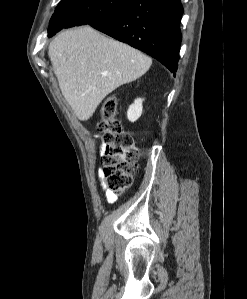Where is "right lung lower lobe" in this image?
<instances>
[{"mask_svg":"<svg viewBox=\"0 0 247 299\" xmlns=\"http://www.w3.org/2000/svg\"><path fill=\"white\" fill-rule=\"evenodd\" d=\"M182 14L180 0H132L115 14L90 25L151 55L176 72Z\"/></svg>","mask_w":247,"mask_h":299,"instance_id":"right-lung-lower-lobe-1","label":"right lung lower lobe"}]
</instances>
